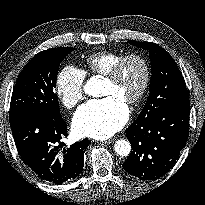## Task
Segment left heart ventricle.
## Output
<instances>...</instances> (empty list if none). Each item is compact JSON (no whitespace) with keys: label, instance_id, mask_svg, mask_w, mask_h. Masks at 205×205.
<instances>
[{"label":"left heart ventricle","instance_id":"obj_1","mask_svg":"<svg viewBox=\"0 0 205 205\" xmlns=\"http://www.w3.org/2000/svg\"><path fill=\"white\" fill-rule=\"evenodd\" d=\"M144 77L142 64L138 60L128 61L117 82L105 81L102 96H115L126 102L140 89Z\"/></svg>","mask_w":205,"mask_h":205}]
</instances>
